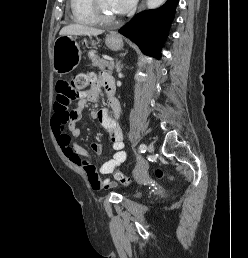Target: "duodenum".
<instances>
[{
  "mask_svg": "<svg viewBox=\"0 0 248 258\" xmlns=\"http://www.w3.org/2000/svg\"><path fill=\"white\" fill-rule=\"evenodd\" d=\"M107 85H108L109 96H111L112 93H113V91H114V86H113V84L110 83V82H109Z\"/></svg>",
  "mask_w": 248,
  "mask_h": 258,
  "instance_id": "duodenum-1",
  "label": "duodenum"
}]
</instances>
